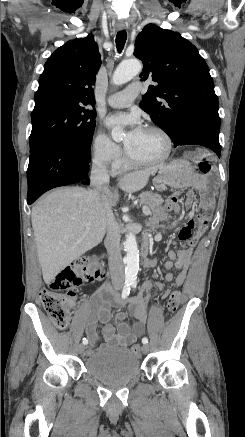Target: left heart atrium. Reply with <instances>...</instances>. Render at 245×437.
<instances>
[{
    "instance_id": "1",
    "label": "left heart atrium",
    "mask_w": 245,
    "mask_h": 437,
    "mask_svg": "<svg viewBox=\"0 0 245 437\" xmlns=\"http://www.w3.org/2000/svg\"><path fill=\"white\" fill-rule=\"evenodd\" d=\"M106 125L110 129L120 126L128 128V134L125 141V146L127 149L134 144L143 130L138 116L134 114L120 113L110 116L106 120Z\"/></svg>"
}]
</instances>
